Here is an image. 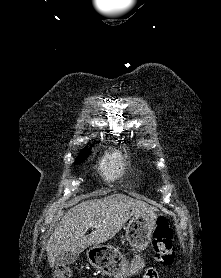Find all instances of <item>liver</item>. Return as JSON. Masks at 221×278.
<instances>
[{"instance_id":"liver-1","label":"liver","mask_w":221,"mask_h":278,"mask_svg":"<svg viewBox=\"0 0 221 278\" xmlns=\"http://www.w3.org/2000/svg\"><path fill=\"white\" fill-rule=\"evenodd\" d=\"M154 211L156 208L148 203L119 193L72 207L48 240L46 251L50 266H54L61 252L79 254L92 245L104 243L112 239L134 215ZM89 227L93 230L86 236Z\"/></svg>"}]
</instances>
